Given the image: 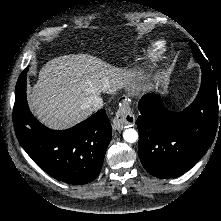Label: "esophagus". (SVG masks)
Listing matches in <instances>:
<instances>
[{"mask_svg":"<svg viewBox=\"0 0 221 221\" xmlns=\"http://www.w3.org/2000/svg\"><path fill=\"white\" fill-rule=\"evenodd\" d=\"M130 99L128 96H124L120 103V107L113 120V128L115 130H122L125 127H132L135 124V116L130 108Z\"/></svg>","mask_w":221,"mask_h":221,"instance_id":"esophagus-1","label":"esophagus"}]
</instances>
